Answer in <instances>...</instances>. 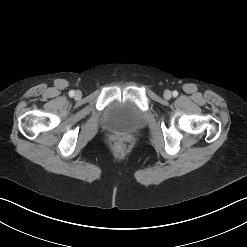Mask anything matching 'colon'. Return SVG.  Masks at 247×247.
<instances>
[{
    "instance_id": "colon-1",
    "label": "colon",
    "mask_w": 247,
    "mask_h": 247,
    "mask_svg": "<svg viewBox=\"0 0 247 247\" xmlns=\"http://www.w3.org/2000/svg\"><path fill=\"white\" fill-rule=\"evenodd\" d=\"M118 150H122V146L121 145L118 146Z\"/></svg>"
}]
</instances>
